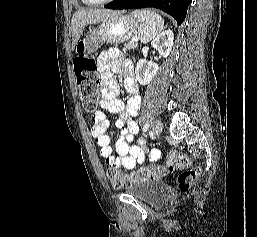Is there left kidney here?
I'll list each match as a JSON object with an SVG mask.
<instances>
[{"mask_svg": "<svg viewBox=\"0 0 257 237\" xmlns=\"http://www.w3.org/2000/svg\"><path fill=\"white\" fill-rule=\"evenodd\" d=\"M174 43V34L172 30L168 29L161 32L153 41L151 46L155 48L160 55L164 58L168 57ZM159 69L158 64L147 61L145 59H140L137 62L135 74L136 79L141 85H147L154 78Z\"/></svg>", "mask_w": 257, "mask_h": 237, "instance_id": "1", "label": "left kidney"}]
</instances>
